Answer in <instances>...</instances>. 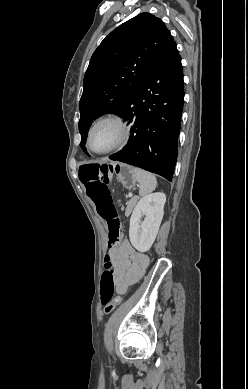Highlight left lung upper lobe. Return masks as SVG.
Returning <instances> with one entry per match:
<instances>
[{
	"mask_svg": "<svg viewBox=\"0 0 248 389\" xmlns=\"http://www.w3.org/2000/svg\"><path fill=\"white\" fill-rule=\"evenodd\" d=\"M160 18L141 13L114 29L93 53L79 102L80 146L94 119L119 114L142 84L153 65L174 44Z\"/></svg>",
	"mask_w": 248,
	"mask_h": 389,
	"instance_id": "1",
	"label": "left lung upper lobe"
}]
</instances>
